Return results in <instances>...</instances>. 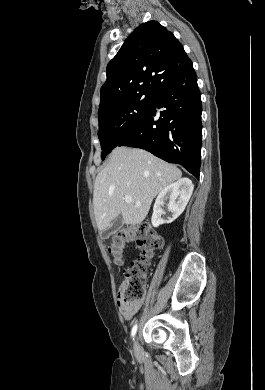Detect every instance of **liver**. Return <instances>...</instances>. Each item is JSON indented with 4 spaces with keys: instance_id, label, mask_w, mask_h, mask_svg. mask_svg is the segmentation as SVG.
<instances>
[{
    "instance_id": "liver-1",
    "label": "liver",
    "mask_w": 265,
    "mask_h": 390,
    "mask_svg": "<svg viewBox=\"0 0 265 390\" xmlns=\"http://www.w3.org/2000/svg\"><path fill=\"white\" fill-rule=\"evenodd\" d=\"M181 176L176 166L145 150L116 147L94 183L93 205L98 229L106 230L119 215L127 225L140 224L153 199ZM125 196H130L132 202L126 203ZM136 202L141 205L137 206Z\"/></svg>"
}]
</instances>
